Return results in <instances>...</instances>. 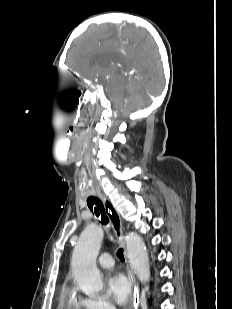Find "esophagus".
I'll use <instances>...</instances> for the list:
<instances>
[{
	"label": "esophagus",
	"mask_w": 232,
	"mask_h": 309,
	"mask_svg": "<svg viewBox=\"0 0 232 309\" xmlns=\"http://www.w3.org/2000/svg\"><path fill=\"white\" fill-rule=\"evenodd\" d=\"M103 204L105 206L106 212L108 214V217L110 219L111 225L113 227L115 236L119 242V244L121 245V247L123 248L124 251V256L127 262V251H126V245H125V240H124V235H123V230H122V221H121V217L119 212L117 211V209L115 208V206L111 203L110 200H108L106 197L104 196H100ZM129 278H130V282L133 286V300L131 303V306L129 309H137L140 305L141 302V296H140V288H139V284L136 281L133 273L129 270Z\"/></svg>",
	"instance_id": "1"
}]
</instances>
